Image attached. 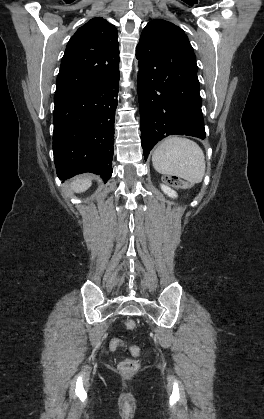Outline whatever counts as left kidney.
I'll list each match as a JSON object with an SVG mask.
<instances>
[{"label":"left kidney","instance_id":"1","mask_svg":"<svg viewBox=\"0 0 264 419\" xmlns=\"http://www.w3.org/2000/svg\"><path fill=\"white\" fill-rule=\"evenodd\" d=\"M161 189H162V191H163L166 195H168L169 197H171V198H176V197H177L176 192H175L174 190H172L170 187H168V186H166V185L162 184V185H161Z\"/></svg>","mask_w":264,"mask_h":419}]
</instances>
